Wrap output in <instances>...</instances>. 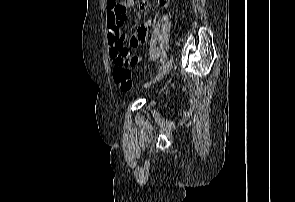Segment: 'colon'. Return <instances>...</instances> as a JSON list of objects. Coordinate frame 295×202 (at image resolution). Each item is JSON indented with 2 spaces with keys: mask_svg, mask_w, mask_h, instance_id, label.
Here are the masks:
<instances>
[{
  "mask_svg": "<svg viewBox=\"0 0 295 202\" xmlns=\"http://www.w3.org/2000/svg\"><path fill=\"white\" fill-rule=\"evenodd\" d=\"M131 61L120 56L113 62L115 66L113 71L114 81L123 91L129 90L133 86L132 74L129 69Z\"/></svg>",
  "mask_w": 295,
  "mask_h": 202,
  "instance_id": "obj_1",
  "label": "colon"
}]
</instances>
